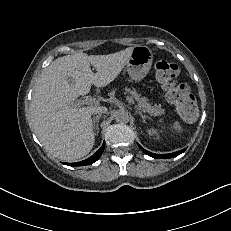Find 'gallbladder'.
<instances>
[{
	"label": "gallbladder",
	"instance_id": "1",
	"mask_svg": "<svg viewBox=\"0 0 231 231\" xmlns=\"http://www.w3.org/2000/svg\"><path fill=\"white\" fill-rule=\"evenodd\" d=\"M65 81L68 85H70L72 88H75L77 86L76 79L73 78V76L70 73H67L65 75Z\"/></svg>",
	"mask_w": 231,
	"mask_h": 231
}]
</instances>
